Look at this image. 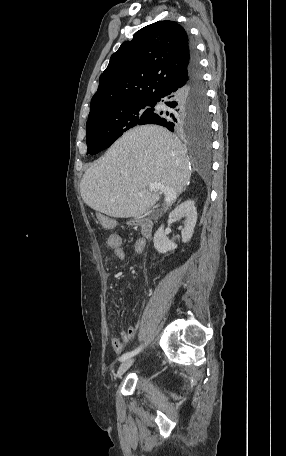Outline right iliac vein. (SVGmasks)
<instances>
[{
  "label": "right iliac vein",
  "instance_id": "63e3f726",
  "mask_svg": "<svg viewBox=\"0 0 286 456\" xmlns=\"http://www.w3.org/2000/svg\"><path fill=\"white\" fill-rule=\"evenodd\" d=\"M134 363V359H127L119 366L116 377L120 378Z\"/></svg>",
  "mask_w": 286,
  "mask_h": 456
}]
</instances>
